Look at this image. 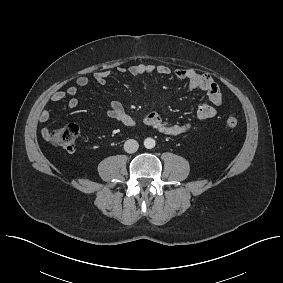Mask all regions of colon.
I'll return each mask as SVG.
<instances>
[{
	"mask_svg": "<svg viewBox=\"0 0 283 283\" xmlns=\"http://www.w3.org/2000/svg\"><path fill=\"white\" fill-rule=\"evenodd\" d=\"M226 125L229 128H235L239 125V120L236 117H228ZM78 136L79 127L76 124H68L48 133V138L52 144L68 151L75 148Z\"/></svg>",
	"mask_w": 283,
	"mask_h": 283,
	"instance_id": "obj_1",
	"label": "colon"
}]
</instances>
